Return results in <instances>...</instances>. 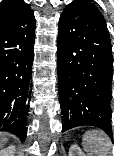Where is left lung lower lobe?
Here are the masks:
<instances>
[{
	"mask_svg": "<svg viewBox=\"0 0 114 156\" xmlns=\"http://www.w3.org/2000/svg\"><path fill=\"white\" fill-rule=\"evenodd\" d=\"M57 66L62 132L91 125L113 139L111 41L103 16L90 2L74 1L61 14Z\"/></svg>",
	"mask_w": 114,
	"mask_h": 156,
	"instance_id": "left-lung-lower-lobe-1",
	"label": "left lung lower lobe"
}]
</instances>
